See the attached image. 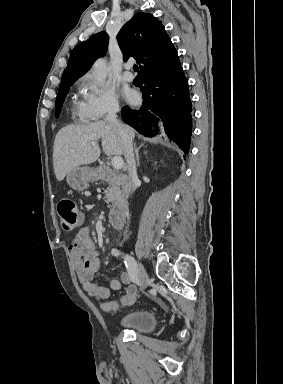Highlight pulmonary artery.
I'll use <instances>...</instances> for the list:
<instances>
[{
	"label": "pulmonary artery",
	"instance_id": "e3ab8cb5",
	"mask_svg": "<svg viewBox=\"0 0 283 384\" xmlns=\"http://www.w3.org/2000/svg\"><path fill=\"white\" fill-rule=\"evenodd\" d=\"M131 68H132V63L130 62L124 65L123 78L128 82H132L135 78L134 74L131 72Z\"/></svg>",
	"mask_w": 283,
	"mask_h": 384
}]
</instances>
